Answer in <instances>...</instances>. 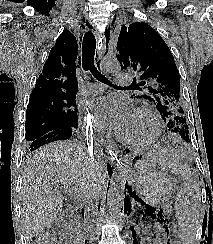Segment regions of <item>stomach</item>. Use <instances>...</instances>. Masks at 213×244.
Returning <instances> with one entry per match:
<instances>
[{"instance_id":"obj_1","label":"stomach","mask_w":213,"mask_h":244,"mask_svg":"<svg viewBox=\"0 0 213 244\" xmlns=\"http://www.w3.org/2000/svg\"><path fill=\"white\" fill-rule=\"evenodd\" d=\"M157 153V149H136L129 156L128 179L140 198L151 206L168 201L178 188L166 170L164 158Z\"/></svg>"}]
</instances>
